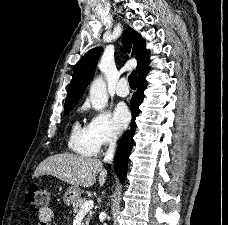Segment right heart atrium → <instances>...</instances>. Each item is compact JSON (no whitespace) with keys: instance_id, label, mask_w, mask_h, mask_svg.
<instances>
[{"instance_id":"d8ad5b80","label":"right heart atrium","mask_w":228,"mask_h":225,"mask_svg":"<svg viewBox=\"0 0 228 225\" xmlns=\"http://www.w3.org/2000/svg\"><path fill=\"white\" fill-rule=\"evenodd\" d=\"M81 111L89 116L85 129L98 148L108 146L117 140L118 132L107 112L92 111L88 102L82 104Z\"/></svg>"}]
</instances>
